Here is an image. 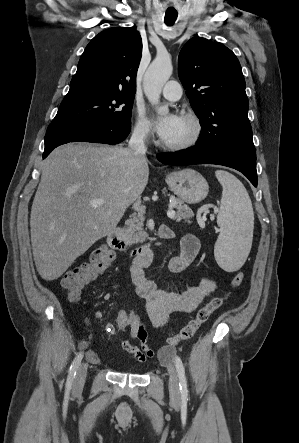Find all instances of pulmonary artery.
Returning a JSON list of instances; mask_svg holds the SVG:
<instances>
[{
  "instance_id": "e3ab8cb5",
  "label": "pulmonary artery",
  "mask_w": 299,
  "mask_h": 443,
  "mask_svg": "<svg viewBox=\"0 0 299 443\" xmlns=\"http://www.w3.org/2000/svg\"><path fill=\"white\" fill-rule=\"evenodd\" d=\"M162 96L169 101H177L182 96L181 85L174 80L168 81L162 89Z\"/></svg>"
}]
</instances>
